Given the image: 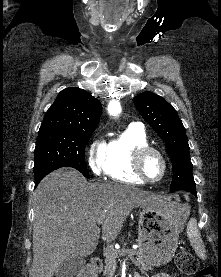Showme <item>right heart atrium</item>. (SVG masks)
<instances>
[{
	"mask_svg": "<svg viewBox=\"0 0 221 277\" xmlns=\"http://www.w3.org/2000/svg\"><path fill=\"white\" fill-rule=\"evenodd\" d=\"M105 147L106 144L103 140H95L89 149L88 153V162L91 170L99 175L103 170V162L105 156Z\"/></svg>",
	"mask_w": 221,
	"mask_h": 277,
	"instance_id": "d8ad5b80",
	"label": "right heart atrium"
}]
</instances>
